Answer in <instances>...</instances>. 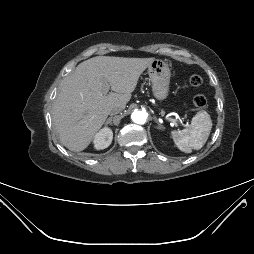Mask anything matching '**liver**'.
Returning <instances> with one entry per match:
<instances>
[{"instance_id":"liver-1","label":"liver","mask_w":254,"mask_h":254,"mask_svg":"<svg viewBox=\"0 0 254 254\" xmlns=\"http://www.w3.org/2000/svg\"><path fill=\"white\" fill-rule=\"evenodd\" d=\"M154 59L97 56L81 62L63 79L53 104L61 143L74 152L87 148L110 109L126 107L140 75ZM106 85L114 92L105 93Z\"/></svg>"}]
</instances>
